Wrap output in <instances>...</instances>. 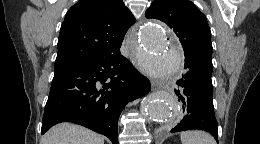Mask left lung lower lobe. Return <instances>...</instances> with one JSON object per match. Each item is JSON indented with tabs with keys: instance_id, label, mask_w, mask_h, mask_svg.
Here are the masks:
<instances>
[{
	"instance_id": "0a47b994",
	"label": "left lung lower lobe",
	"mask_w": 260,
	"mask_h": 144,
	"mask_svg": "<svg viewBox=\"0 0 260 144\" xmlns=\"http://www.w3.org/2000/svg\"><path fill=\"white\" fill-rule=\"evenodd\" d=\"M185 69L187 72L177 81L178 89L175 91L181 102V120L171 132L201 129L210 132L218 142L212 69L194 62H185Z\"/></svg>"
}]
</instances>
